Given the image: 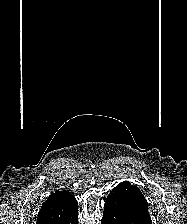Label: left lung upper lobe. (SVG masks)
Returning a JSON list of instances; mask_svg holds the SVG:
<instances>
[{"label": "left lung upper lobe", "mask_w": 187, "mask_h": 224, "mask_svg": "<svg viewBox=\"0 0 187 224\" xmlns=\"http://www.w3.org/2000/svg\"><path fill=\"white\" fill-rule=\"evenodd\" d=\"M113 190L118 191L123 200L134 212L151 219L148 212V202L138 187L125 181L118 184Z\"/></svg>", "instance_id": "1"}]
</instances>
